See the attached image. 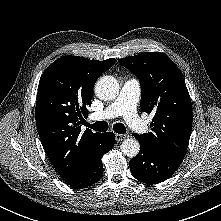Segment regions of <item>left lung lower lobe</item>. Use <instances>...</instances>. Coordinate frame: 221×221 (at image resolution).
<instances>
[{"instance_id":"0a47b994","label":"left lung lower lobe","mask_w":221,"mask_h":221,"mask_svg":"<svg viewBox=\"0 0 221 221\" xmlns=\"http://www.w3.org/2000/svg\"><path fill=\"white\" fill-rule=\"evenodd\" d=\"M139 154L129 161L133 176L147 184L167 180L180 166L184 157L153 150L140 143Z\"/></svg>"}]
</instances>
